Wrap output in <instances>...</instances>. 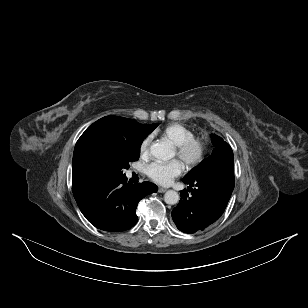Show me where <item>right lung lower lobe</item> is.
I'll use <instances>...</instances> for the list:
<instances>
[{
	"instance_id": "98d812e1",
	"label": "right lung lower lobe",
	"mask_w": 308,
	"mask_h": 308,
	"mask_svg": "<svg viewBox=\"0 0 308 308\" xmlns=\"http://www.w3.org/2000/svg\"><path fill=\"white\" fill-rule=\"evenodd\" d=\"M156 191L157 186L151 182L131 185L124 176L101 179L75 193L74 198L92 225L104 231L119 232L136 224L138 202Z\"/></svg>"
}]
</instances>
